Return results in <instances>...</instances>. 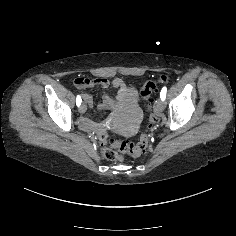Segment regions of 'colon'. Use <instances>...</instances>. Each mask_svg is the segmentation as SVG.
Wrapping results in <instances>:
<instances>
[{"label": "colon", "mask_w": 236, "mask_h": 236, "mask_svg": "<svg viewBox=\"0 0 236 236\" xmlns=\"http://www.w3.org/2000/svg\"><path fill=\"white\" fill-rule=\"evenodd\" d=\"M166 81H168V76L162 75L158 80H150L146 82L140 91V95L146 101L147 108L151 112L147 129H151L157 122V116L152 112V94L157 91L161 83H165ZM107 83L106 79H89L85 77H78L74 80V84L79 88L89 87L94 84ZM99 140L103 145L105 158L111 161H116L122 158L118 152L134 157L143 154L148 147L150 135L147 131H144L137 143H130L128 141H111L108 134L105 131H101L99 133Z\"/></svg>", "instance_id": "obj_1"}]
</instances>
